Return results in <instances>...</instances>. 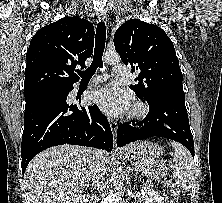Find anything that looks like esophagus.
<instances>
[{
	"label": "esophagus",
	"instance_id": "1",
	"mask_svg": "<svg viewBox=\"0 0 222 203\" xmlns=\"http://www.w3.org/2000/svg\"><path fill=\"white\" fill-rule=\"evenodd\" d=\"M107 18H108V14H107V12L105 10L100 11L98 13V19L100 21H107ZM108 120H109V124H110L111 130L113 132V136H114V140H115V144H116V135H117V127H118V125H117V122L113 118L109 117Z\"/></svg>",
	"mask_w": 222,
	"mask_h": 203
}]
</instances>
